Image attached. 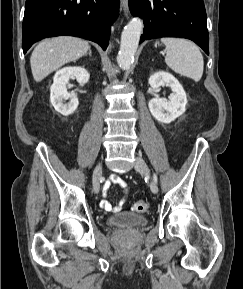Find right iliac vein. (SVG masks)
Segmentation results:
<instances>
[{"mask_svg":"<svg viewBox=\"0 0 243 289\" xmlns=\"http://www.w3.org/2000/svg\"><path fill=\"white\" fill-rule=\"evenodd\" d=\"M101 175H102V163H99L94 169L93 179H92L93 188H94L95 193H98L99 190H100V178H101Z\"/></svg>","mask_w":243,"mask_h":289,"instance_id":"1","label":"right iliac vein"}]
</instances>
